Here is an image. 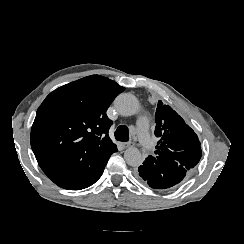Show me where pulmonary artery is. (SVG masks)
<instances>
[{
  "label": "pulmonary artery",
  "mask_w": 244,
  "mask_h": 244,
  "mask_svg": "<svg viewBox=\"0 0 244 244\" xmlns=\"http://www.w3.org/2000/svg\"><path fill=\"white\" fill-rule=\"evenodd\" d=\"M149 123V114L146 111H141L138 114L136 127L137 143L144 149H149L152 146V140L147 135V127Z\"/></svg>",
  "instance_id": "obj_1"
}]
</instances>
